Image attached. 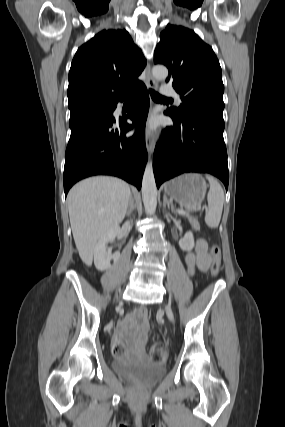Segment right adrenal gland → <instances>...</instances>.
<instances>
[{"label":"right adrenal gland","instance_id":"obj_1","mask_svg":"<svg viewBox=\"0 0 285 427\" xmlns=\"http://www.w3.org/2000/svg\"><path fill=\"white\" fill-rule=\"evenodd\" d=\"M135 205H134V198L132 195H130V200H129V207H128V211H127V215H130L131 212L134 210Z\"/></svg>","mask_w":285,"mask_h":427}]
</instances>
